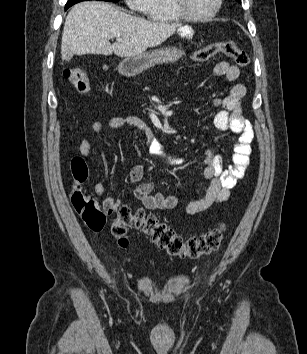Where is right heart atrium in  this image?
I'll list each match as a JSON object with an SVG mask.
<instances>
[{"label":"right heart atrium","mask_w":307,"mask_h":354,"mask_svg":"<svg viewBox=\"0 0 307 354\" xmlns=\"http://www.w3.org/2000/svg\"><path fill=\"white\" fill-rule=\"evenodd\" d=\"M125 2L131 10L144 12L149 0H125Z\"/></svg>","instance_id":"obj_1"}]
</instances>
